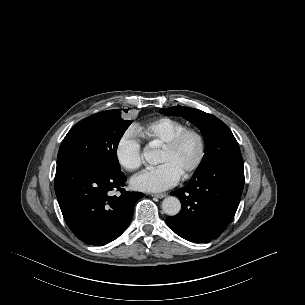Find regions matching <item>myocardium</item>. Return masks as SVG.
Segmentation results:
<instances>
[{
	"instance_id": "myocardium-1",
	"label": "myocardium",
	"mask_w": 305,
	"mask_h": 305,
	"mask_svg": "<svg viewBox=\"0 0 305 305\" xmlns=\"http://www.w3.org/2000/svg\"><path fill=\"white\" fill-rule=\"evenodd\" d=\"M187 136H194L198 141V156L194 164L183 174V177L188 178L192 176L204 163L206 157V141L204 135L195 128H185L171 138L166 144L163 145V149L167 151H173L179 147L182 141Z\"/></svg>"
}]
</instances>
